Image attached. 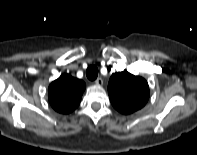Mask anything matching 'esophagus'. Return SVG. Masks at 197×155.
Returning <instances> with one entry per match:
<instances>
[{
	"instance_id": "1",
	"label": "esophagus",
	"mask_w": 197,
	"mask_h": 155,
	"mask_svg": "<svg viewBox=\"0 0 197 155\" xmlns=\"http://www.w3.org/2000/svg\"><path fill=\"white\" fill-rule=\"evenodd\" d=\"M94 83L97 85V86H102L103 84V80L101 78H97Z\"/></svg>"
}]
</instances>
